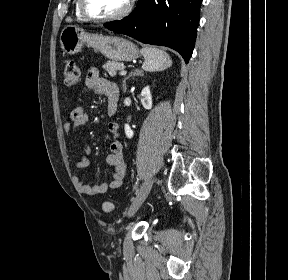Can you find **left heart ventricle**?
Masks as SVG:
<instances>
[{
    "mask_svg": "<svg viewBox=\"0 0 288 280\" xmlns=\"http://www.w3.org/2000/svg\"><path fill=\"white\" fill-rule=\"evenodd\" d=\"M90 12L99 16L118 13L126 5L127 0H86Z\"/></svg>",
    "mask_w": 288,
    "mask_h": 280,
    "instance_id": "left-heart-ventricle-1",
    "label": "left heart ventricle"
}]
</instances>
